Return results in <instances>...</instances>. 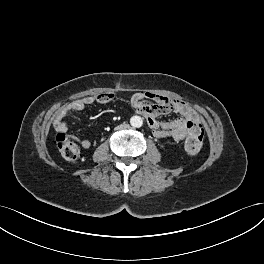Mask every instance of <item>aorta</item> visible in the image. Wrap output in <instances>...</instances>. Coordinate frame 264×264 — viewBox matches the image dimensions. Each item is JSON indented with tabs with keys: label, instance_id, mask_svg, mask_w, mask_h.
Listing matches in <instances>:
<instances>
[{
	"label": "aorta",
	"instance_id": "1",
	"mask_svg": "<svg viewBox=\"0 0 264 264\" xmlns=\"http://www.w3.org/2000/svg\"><path fill=\"white\" fill-rule=\"evenodd\" d=\"M130 124L135 128H140L143 124V120L140 116H132L130 119Z\"/></svg>",
	"mask_w": 264,
	"mask_h": 264
}]
</instances>
